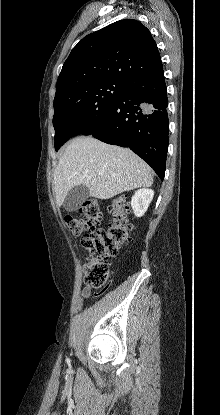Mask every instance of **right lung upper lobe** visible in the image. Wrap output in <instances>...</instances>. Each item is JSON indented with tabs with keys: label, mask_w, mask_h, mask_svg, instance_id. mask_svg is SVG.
Returning a JSON list of instances; mask_svg holds the SVG:
<instances>
[{
	"label": "right lung upper lobe",
	"mask_w": 220,
	"mask_h": 415,
	"mask_svg": "<svg viewBox=\"0 0 220 415\" xmlns=\"http://www.w3.org/2000/svg\"><path fill=\"white\" fill-rule=\"evenodd\" d=\"M163 68L150 31L125 19L85 36L71 51L57 80L56 94L84 82L131 83Z\"/></svg>",
	"instance_id": "right-lung-upper-lobe-1"
}]
</instances>
